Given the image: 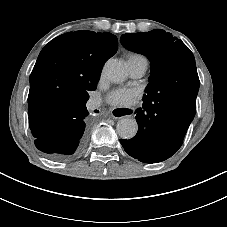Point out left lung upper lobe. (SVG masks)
I'll use <instances>...</instances> for the list:
<instances>
[{
	"mask_svg": "<svg viewBox=\"0 0 227 227\" xmlns=\"http://www.w3.org/2000/svg\"><path fill=\"white\" fill-rule=\"evenodd\" d=\"M122 45L151 61V75L144 100L168 97L190 81H198L195 58L177 37L164 30L124 34Z\"/></svg>",
	"mask_w": 227,
	"mask_h": 227,
	"instance_id": "obj_1",
	"label": "left lung upper lobe"
}]
</instances>
